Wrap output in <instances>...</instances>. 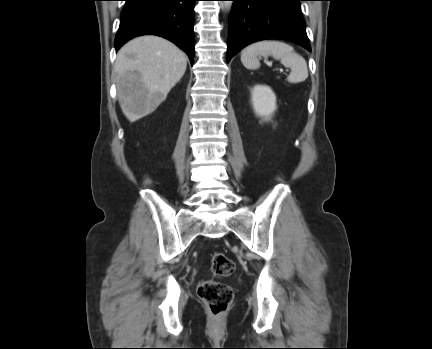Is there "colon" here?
I'll return each instance as SVG.
<instances>
[{
	"label": "colon",
	"instance_id": "obj_1",
	"mask_svg": "<svg viewBox=\"0 0 432 349\" xmlns=\"http://www.w3.org/2000/svg\"><path fill=\"white\" fill-rule=\"evenodd\" d=\"M211 270L216 277H227L234 272L235 263L226 254L216 252L212 256ZM198 294L211 313L216 316L224 314L233 300L232 288L215 280L202 283Z\"/></svg>",
	"mask_w": 432,
	"mask_h": 349
}]
</instances>
